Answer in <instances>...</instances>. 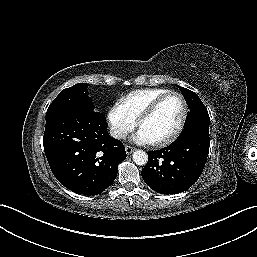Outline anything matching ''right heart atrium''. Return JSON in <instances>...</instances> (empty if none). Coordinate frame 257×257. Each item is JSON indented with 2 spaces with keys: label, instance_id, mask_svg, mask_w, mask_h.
Segmentation results:
<instances>
[{
  "label": "right heart atrium",
  "instance_id": "d8ad5b80",
  "mask_svg": "<svg viewBox=\"0 0 257 257\" xmlns=\"http://www.w3.org/2000/svg\"><path fill=\"white\" fill-rule=\"evenodd\" d=\"M107 121L111 135L116 139H124L136 125V120L128 114L120 102L114 103L108 109Z\"/></svg>",
  "mask_w": 257,
  "mask_h": 257
}]
</instances>
